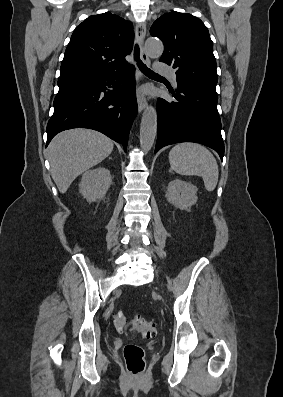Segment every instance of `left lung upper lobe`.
Masks as SVG:
<instances>
[{
	"label": "left lung upper lobe",
	"mask_w": 283,
	"mask_h": 397,
	"mask_svg": "<svg viewBox=\"0 0 283 397\" xmlns=\"http://www.w3.org/2000/svg\"><path fill=\"white\" fill-rule=\"evenodd\" d=\"M150 34L164 43L160 61L176 69L177 84L217 96L213 42L200 19L176 11L165 13L153 23Z\"/></svg>",
	"instance_id": "left-lung-upper-lobe-1"
}]
</instances>
